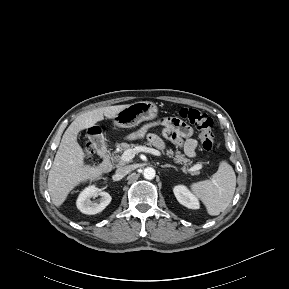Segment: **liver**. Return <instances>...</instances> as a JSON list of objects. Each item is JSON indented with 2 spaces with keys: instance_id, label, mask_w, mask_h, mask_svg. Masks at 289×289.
<instances>
[{
  "instance_id": "liver-1",
  "label": "liver",
  "mask_w": 289,
  "mask_h": 289,
  "mask_svg": "<svg viewBox=\"0 0 289 289\" xmlns=\"http://www.w3.org/2000/svg\"><path fill=\"white\" fill-rule=\"evenodd\" d=\"M127 106H107L85 112L67 128L48 175V191L55 206L60 207L70 191L79 184L101 179L103 175L100 166L84 163L85 153L77 142L79 132L102 121L104 116L113 119Z\"/></svg>"
}]
</instances>
